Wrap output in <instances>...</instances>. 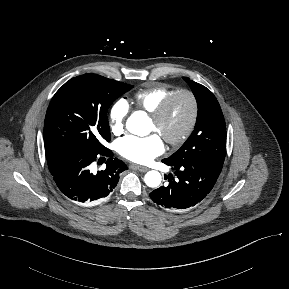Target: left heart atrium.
Masks as SVG:
<instances>
[{
	"mask_svg": "<svg viewBox=\"0 0 289 289\" xmlns=\"http://www.w3.org/2000/svg\"><path fill=\"white\" fill-rule=\"evenodd\" d=\"M117 150L129 161L147 164L164 152V143L158 134L146 137L128 135L117 141Z\"/></svg>",
	"mask_w": 289,
	"mask_h": 289,
	"instance_id": "obj_1",
	"label": "left heart atrium"
}]
</instances>
